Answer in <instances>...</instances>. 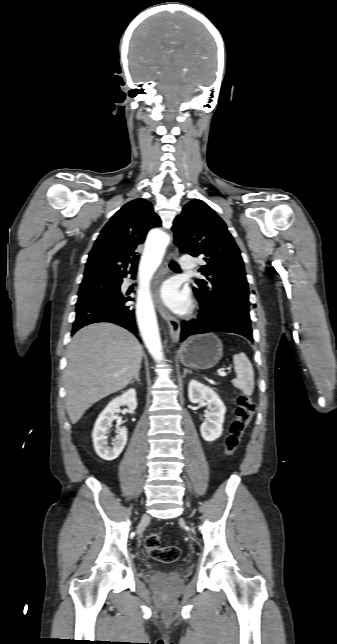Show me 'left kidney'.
<instances>
[{"instance_id":"5707ae66","label":"left kidney","mask_w":337,"mask_h":644,"mask_svg":"<svg viewBox=\"0 0 337 644\" xmlns=\"http://www.w3.org/2000/svg\"><path fill=\"white\" fill-rule=\"evenodd\" d=\"M188 397L190 402L199 403L205 400L208 404L209 415L200 426V432L205 441L212 442L218 439L223 431L224 415L226 407L218 394L210 387L191 380L188 385Z\"/></svg>"}]
</instances>
